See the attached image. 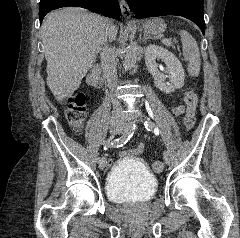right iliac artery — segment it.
I'll use <instances>...</instances> for the list:
<instances>
[{"label": "right iliac artery", "instance_id": "1", "mask_svg": "<svg viewBox=\"0 0 240 238\" xmlns=\"http://www.w3.org/2000/svg\"><path fill=\"white\" fill-rule=\"evenodd\" d=\"M135 129V124H133L131 126V128L129 130H127L120 138L115 139L113 142L111 140H105L104 142H100L105 148L107 146H112L114 148H119L121 146H123V144L127 143L130 138L133 136V130ZM101 157L97 158V161L100 162L101 161Z\"/></svg>", "mask_w": 240, "mask_h": 238}]
</instances>
